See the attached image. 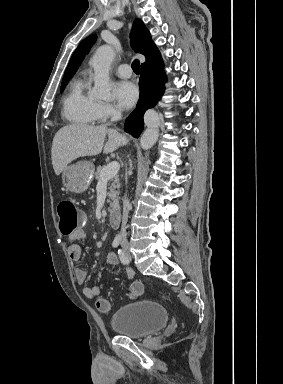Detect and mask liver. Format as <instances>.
<instances>
[{
  "mask_svg": "<svg viewBox=\"0 0 283 384\" xmlns=\"http://www.w3.org/2000/svg\"><path fill=\"white\" fill-rule=\"evenodd\" d=\"M108 142L104 146V140ZM128 140L117 130L106 126H87V124H70L58 130L53 138L52 164L56 176L64 172L70 162L84 156L111 154L120 146H126Z\"/></svg>",
  "mask_w": 283,
  "mask_h": 384,
  "instance_id": "1",
  "label": "liver"
}]
</instances>
